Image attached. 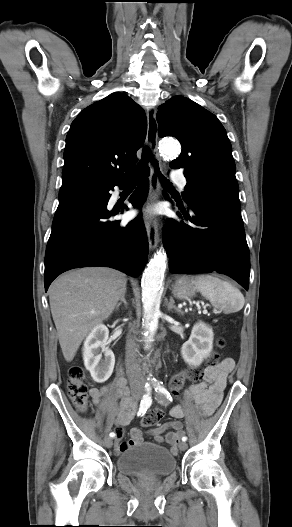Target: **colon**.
Listing matches in <instances>:
<instances>
[{"label":"colon","mask_w":292,"mask_h":527,"mask_svg":"<svg viewBox=\"0 0 292 527\" xmlns=\"http://www.w3.org/2000/svg\"><path fill=\"white\" fill-rule=\"evenodd\" d=\"M219 348L224 346V341L219 339L217 341ZM219 361V355L217 353L211 356L209 366L214 367ZM204 377V372L201 369H189L177 376L171 381V386L176 392L180 386L185 382L189 381L193 384L200 383ZM67 393L74 406L80 410L85 411L88 405V382L85 376V370L81 366H73L68 372L67 379ZM163 417V411L158 408L150 409L147 411L145 416L141 420L143 427H151L157 425Z\"/></svg>","instance_id":"colon-1"}]
</instances>
